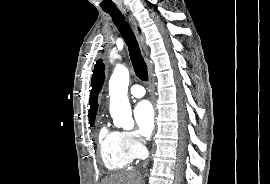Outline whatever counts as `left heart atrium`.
<instances>
[{"instance_id": "39dd6f15", "label": "left heart atrium", "mask_w": 270, "mask_h": 184, "mask_svg": "<svg viewBox=\"0 0 270 184\" xmlns=\"http://www.w3.org/2000/svg\"><path fill=\"white\" fill-rule=\"evenodd\" d=\"M134 117L139 134L144 138L150 137L155 122V114L152 105L148 101L138 103L134 110Z\"/></svg>"}]
</instances>
